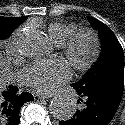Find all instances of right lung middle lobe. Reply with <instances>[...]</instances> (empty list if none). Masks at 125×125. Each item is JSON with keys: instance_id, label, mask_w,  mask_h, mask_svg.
<instances>
[{"instance_id": "dd1d6c3e", "label": "right lung middle lobe", "mask_w": 125, "mask_h": 125, "mask_svg": "<svg viewBox=\"0 0 125 125\" xmlns=\"http://www.w3.org/2000/svg\"><path fill=\"white\" fill-rule=\"evenodd\" d=\"M21 21L14 20L9 17L0 16V39L8 37L12 31L18 26ZM0 102H2L1 93H0Z\"/></svg>"}]
</instances>
